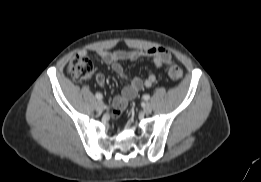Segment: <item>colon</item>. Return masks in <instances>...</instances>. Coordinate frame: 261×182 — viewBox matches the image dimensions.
Instances as JSON below:
<instances>
[{"label": "colon", "mask_w": 261, "mask_h": 182, "mask_svg": "<svg viewBox=\"0 0 261 182\" xmlns=\"http://www.w3.org/2000/svg\"><path fill=\"white\" fill-rule=\"evenodd\" d=\"M67 71L77 81H86L93 76L92 63L88 58L80 55H75L69 60ZM167 71L173 80H179L183 76L181 68L177 65H170Z\"/></svg>", "instance_id": "colon-1"}]
</instances>
